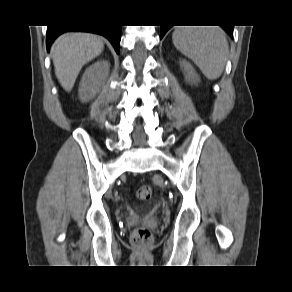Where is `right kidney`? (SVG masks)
<instances>
[{"label": "right kidney", "mask_w": 292, "mask_h": 292, "mask_svg": "<svg viewBox=\"0 0 292 292\" xmlns=\"http://www.w3.org/2000/svg\"><path fill=\"white\" fill-rule=\"evenodd\" d=\"M110 70L107 60H100L90 65L80 81L79 98L82 102L91 100L106 80Z\"/></svg>", "instance_id": "obj_1"}]
</instances>
